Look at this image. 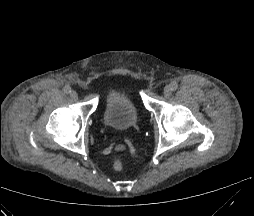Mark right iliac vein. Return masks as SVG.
<instances>
[{
  "mask_svg": "<svg viewBox=\"0 0 254 216\" xmlns=\"http://www.w3.org/2000/svg\"><path fill=\"white\" fill-rule=\"evenodd\" d=\"M70 96H71L72 99H76L78 97V93L76 91H72L70 93Z\"/></svg>",
  "mask_w": 254,
  "mask_h": 216,
  "instance_id": "63e3f726",
  "label": "right iliac vein"
}]
</instances>
